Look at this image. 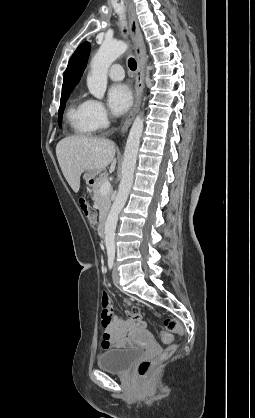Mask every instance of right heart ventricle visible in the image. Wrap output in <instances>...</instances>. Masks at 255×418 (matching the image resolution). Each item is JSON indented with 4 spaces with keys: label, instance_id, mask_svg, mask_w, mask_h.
I'll use <instances>...</instances> for the list:
<instances>
[{
    "label": "right heart ventricle",
    "instance_id": "1",
    "mask_svg": "<svg viewBox=\"0 0 255 418\" xmlns=\"http://www.w3.org/2000/svg\"><path fill=\"white\" fill-rule=\"evenodd\" d=\"M89 101L80 94L75 95L70 101L66 117L75 134L90 135L95 131L90 119Z\"/></svg>",
    "mask_w": 255,
    "mask_h": 418
}]
</instances>
